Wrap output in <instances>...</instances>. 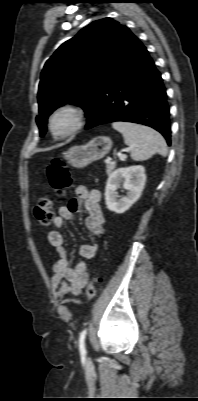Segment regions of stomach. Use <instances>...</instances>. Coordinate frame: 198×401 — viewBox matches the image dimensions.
Returning a JSON list of instances; mask_svg holds the SVG:
<instances>
[{"label": "stomach", "mask_w": 198, "mask_h": 401, "mask_svg": "<svg viewBox=\"0 0 198 401\" xmlns=\"http://www.w3.org/2000/svg\"><path fill=\"white\" fill-rule=\"evenodd\" d=\"M112 144L110 137L97 136L85 145L69 148L63 153V157L73 167L82 168L102 159L111 150Z\"/></svg>", "instance_id": "0dacf381"}]
</instances>
